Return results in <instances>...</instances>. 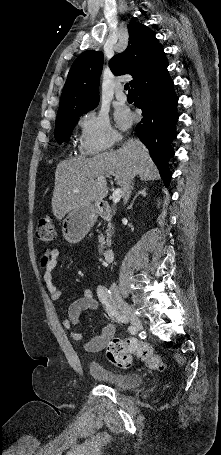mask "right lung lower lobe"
Here are the masks:
<instances>
[{"label": "right lung lower lobe", "mask_w": 221, "mask_h": 455, "mask_svg": "<svg viewBox=\"0 0 221 455\" xmlns=\"http://www.w3.org/2000/svg\"><path fill=\"white\" fill-rule=\"evenodd\" d=\"M167 66L163 51L133 85L134 105L143 112L135 130L149 149L165 186L169 185L171 178L168 161L174 155L171 143L177 136L179 117L176 111L178 97Z\"/></svg>", "instance_id": "98d812e1"}]
</instances>
